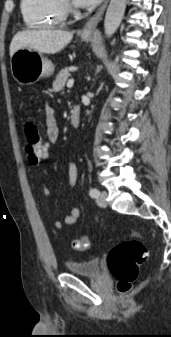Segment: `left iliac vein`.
Segmentation results:
<instances>
[{"mask_svg":"<svg viewBox=\"0 0 171 337\" xmlns=\"http://www.w3.org/2000/svg\"><path fill=\"white\" fill-rule=\"evenodd\" d=\"M106 198H107V192L106 191H101L98 198H97V204L100 207H106L107 202H106Z\"/></svg>","mask_w":171,"mask_h":337,"instance_id":"4c4485c4","label":"left iliac vein"}]
</instances>
